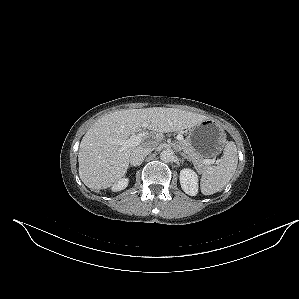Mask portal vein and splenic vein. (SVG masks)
Wrapping results in <instances>:
<instances>
[{"instance_id": "portal-vein-and-splenic-vein-1", "label": "portal vein and splenic vein", "mask_w": 299, "mask_h": 299, "mask_svg": "<svg viewBox=\"0 0 299 299\" xmlns=\"http://www.w3.org/2000/svg\"><path fill=\"white\" fill-rule=\"evenodd\" d=\"M145 134L141 133V134H133L132 136H130L129 139L127 140H119V139H112V138H108L107 141L111 144H116V145H120L121 148L119 151H123L129 147H134V146H138L142 140L144 139ZM177 140L182 141L183 140V136L182 135H177ZM214 160L213 159H204L203 163L207 164V165H211L214 164Z\"/></svg>"}]
</instances>
